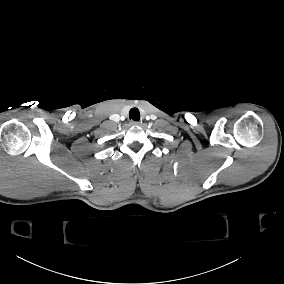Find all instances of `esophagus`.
<instances>
[{
  "mask_svg": "<svg viewBox=\"0 0 284 284\" xmlns=\"http://www.w3.org/2000/svg\"><path fill=\"white\" fill-rule=\"evenodd\" d=\"M130 124H131L132 126H134V125H139V122H138V121H131Z\"/></svg>",
  "mask_w": 284,
  "mask_h": 284,
  "instance_id": "1",
  "label": "esophagus"
}]
</instances>
